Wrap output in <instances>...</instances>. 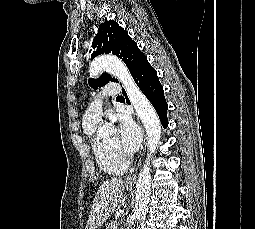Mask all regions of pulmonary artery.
I'll list each match as a JSON object with an SVG mask.
<instances>
[{"mask_svg":"<svg viewBox=\"0 0 255 229\" xmlns=\"http://www.w3.org/2000/svg\"><path fill=\"white\" fill-rule=\"evenodd\" d=\"M121 89L117 84H108L104 91L98 93L92 103L88 106L83 123L85 125H99L102 122V107L105 97H114L120 93Z\"/></svg>","mask_w":255,"mask_h":229,"instance_id":"e3ab8cb5","label":"pulmonary artery"}]
</instances>
